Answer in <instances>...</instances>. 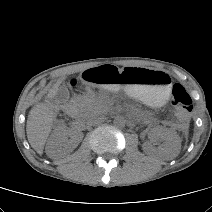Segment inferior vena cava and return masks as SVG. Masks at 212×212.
Wrapping results in <instances>:
<instances>
[{"mask_svg": "<svg viewBox=\"0 0 212 212\" xmlns=\"http://www.w3.org/2000/svg\"><path fill=\"white\" fill-rule=\"evenodd\" d=\"M103 120H104L103 116L91 114L90 116L86 118V123L88 125H97V124H100Z\"/></svg>", "mask_w": 212, "mask_h": 212, "instance_id": "obj_1", "label": "inferior vena cava"}]
</instances>
